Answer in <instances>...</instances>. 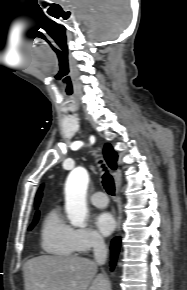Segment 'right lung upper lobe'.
Segmentation results:
<instances>
[{"label":"right lung upper lobe","mask_w":187,"mask_h":290,"mask_svg":"<svg viewBox=\"0 0 187 290\" xmlns=\"http://www.w3.org/2000/svg\"><path fill=\"white\" fill-rule=\"evenodd\" d=\"M103 154H104V158L107 162V164L109 165V167L113 170H115L117 168V154L116 152L113 150L112 146L110 144H106L103 150ZM41 190L42 188H40V190L37 193L36 196V200H35V207L37 208L41 199ZM39 216V212L36 213L35 218Z\"/></svg>","instance_id":"cb5924a9"}]
</instances>
